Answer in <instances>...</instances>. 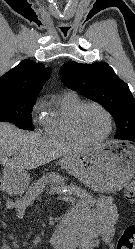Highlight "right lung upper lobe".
Here are the masks:
<instances>
[{
    "instance_id": "obj_1",
    "label": "right lung upper lobe",
    "mask_w": 135,
    "mask_h": 249,
    "mask_svg": "<svg viewBox=\"0 0 135 249\" xmlns=\"http://www.w3.org/2000/svg\"><path fill=\"white\" fill-rule=\"evenodd\" d=\"M51 75V68L26 59L0 77V94L36 98Z\"/></svg>"
}]
</instances>
